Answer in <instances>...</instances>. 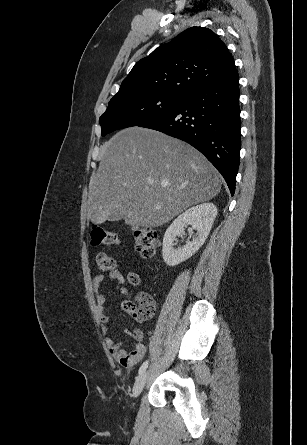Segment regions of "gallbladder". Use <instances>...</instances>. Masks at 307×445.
Instances as JSON below:
<instances>
[{"mask_svg":"<svg viewBox=\"0 0 307 445\" xmlns=\"http://www.w3.org/2000/svg\"><path fill=\"white\" fill-rule=\"evenodd\" d=\"M113 211H116V208H113ZM106 218L108 219V220H115L116 222H119L120 220H121V217L119 216V215H116L115 217H113V215L111 214V213H108L107 215H106Z\"/></svg>","mask_w":307,"mask_h":445,"instance_id":"obj_1","label":"gallbladder"}]
</instances>
